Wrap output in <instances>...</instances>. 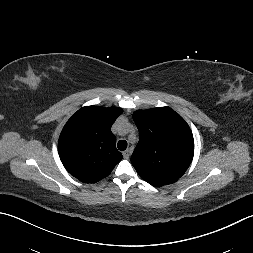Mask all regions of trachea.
I'll list each match as a JSON object with an SVG mask.
<instances>
[{
	"label": "trachea",
	"instance_id": "3493384b",
	"mask_svg": "<svg viewBox=\"0 0 253 253\" xmlns=\"http://www.w3.org/2000/svg\"><path fill=\"white\" fill-rule=\"evenodd\" d=\"M117 147L120 151H124L127 148V142L125 140H120L117 143Z\"/></svg>",
	"mask_w": 253,
	"mask_h": 253
}]
</instances>
